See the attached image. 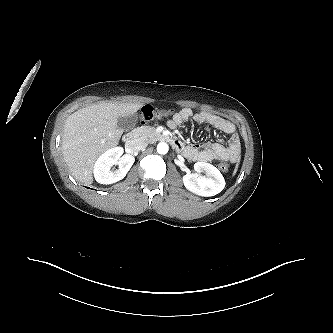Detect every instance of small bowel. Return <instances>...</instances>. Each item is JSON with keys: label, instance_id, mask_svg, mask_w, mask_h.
<instances>
[{"label": "small bowel", "instance_id": "small-bowel-1", "mask_svg": "<svg viewBox=\"0 0 333 333\" xmlns=\"http://www.w3.org/2000/svg\"><path fill=\"white\" fill-rule=\"evenodd\" d=\"M190 119L197 123L207 124L214 127L223 134L229 135V138L225 144L208 142L199 143L193 146L182 145L180 150L186 158L199 162L216 160L234 163L237 160L240 152V139L236 133V127L231 121L225 120L211 113H194L190 108H183L168 120V126L175 129Z\"/></svg>", "mask_w": 333, "mask_h": 333}]
</instances>
